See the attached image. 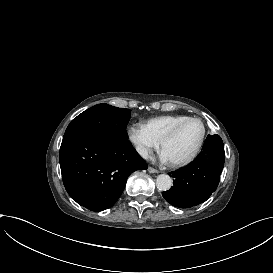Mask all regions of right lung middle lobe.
I'll return each instance as SVG.
<instances>
[{
  "label": "right lung middle lobe",
  "mask_w": 273,
  "mask_h": 273,
  "mask_svg": "<svg viewBox=\"0 0 273 273\" xmlns=\"http://www.w3.org/2000/svg\"><path fill=\"white\" fill-rule=\"evenodd\" d=\"M130 110L98 104L82 112L68 125L63 140L73 136H91L104 140L129 142L126 125Z\"/></svg>",
  "instance_id": "1"
}]
</instances>
